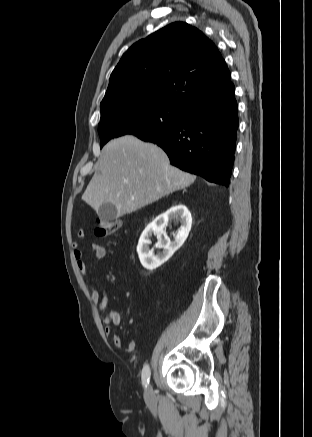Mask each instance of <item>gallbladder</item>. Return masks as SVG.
<instances>
[{
	"mask_svg": "<svg viewBox=\"0 0 312 437\" xmlns=\"http://www.w3.org/2000/svg\"><path fill=\"white\" fill-rule=\"evenodd\" d=\"M97 214L103 221H112L117 218V209L111 203H103L97 210Z\"/></svg>",
	"mask_w": 312,
	"mask_h": 437,
	"instance_id": "bac80fb5",
	"label": "gallbladder"
}]
</instances>
